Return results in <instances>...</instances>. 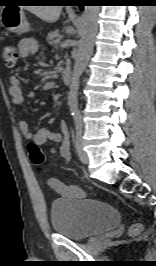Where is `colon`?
<instances>
[{
	"label": "colon",
	"mask_w": 156,
	"mask_h": 266,
	"mask_svg": "<svg viewBox=\"0 0 156 266\" xmlns=\"http://www.w3.org/2000/svg\"><path fill=\"white\" fill-rule=\"evenodd\" d=\"M3 58L7 66H13L18 58V50L13 45H6L3 49ZM28 151L31 161L34 166L42 167L44 164V155L38 145L35 143L28 144ZM142 231V225L139 223L133 224L129 228L131 236L138 235Z\"/></svg>",
	"instance_id": "5ec220e1"
}]
</instances>
